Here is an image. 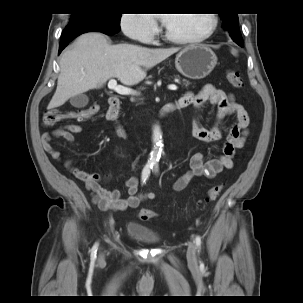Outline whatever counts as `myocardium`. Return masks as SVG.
<instances>
[{
	"label": "myocardium",
	"instance_id": "1",
	"mask_svg": "<svg viewBox=\"0 0 303 303\" xmlns=\"http://www.w3.org/2000/svg\"><path fill=\"white\" fill-rule=\"evenodd\" d=\"M209 15L211 16V25H210L209 29L198 36H193V37L176 36V35L172 34L166 27L163 30V34H164L165 38H167L169 41L179 43V44H189V43L201 42V41L207 39L208 37H210L218 26L217 15L214 13H211Z\"/></svg>",
	"mask_w": 303,
	"mask_h": 303
}]
</instances>
